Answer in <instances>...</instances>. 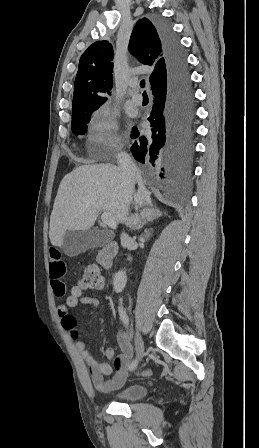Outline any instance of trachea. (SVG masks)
<instances>
[{
  "label": "trachea",
  "instance_id": "obj_1",
  "mask_svg": "<svg viewBox=\"0 0 259 448\" xmlns=\"http://www.w3.org/2000/svg\"><path fill=\"white\" fill-rule=\"evenodd\" d=\"M140 87H141V88H144V87H145V80H141V81H140ZM143 95H147V94H146V91L143 92Z\"/></svg>",
  "mask_w": 259,
  "mask_h": 448
}]
</instances>
